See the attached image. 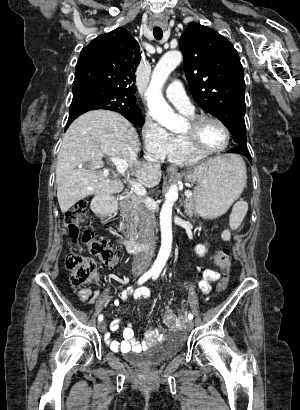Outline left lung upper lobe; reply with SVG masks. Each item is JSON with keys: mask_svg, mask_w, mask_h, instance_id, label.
I'll return each mask as SVG.
<instances>
[{"mask_svg": "<svg viewBox=\"0 0 300 410\" xmlns=\"http://www.w3.org/2000/svg\"><path fill=\"white\" fill-rule=\"evenodd\" d=\"M179 46L195 101L223 122L236 146L247 147L244 73L232 43L206 26L190 23Z\"/></svg>", "mask_w": 300, "mask_h": 410, "instance_id": "left-lung-upper-lobe-1", "label": "left lung upper lobe"}]
</instances>
